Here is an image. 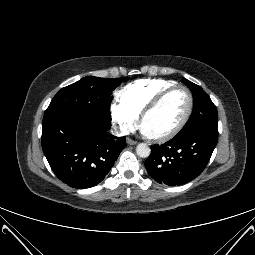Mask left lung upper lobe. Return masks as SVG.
<instances>
[{
	"instance_id": "obj_1",
	"label": "left lung upper lobe",
	"mask_w": 255,
	"mask_h": 255,
	"mask_svg": "<svg viewBox=\"0 0 255 255\" xmlns=\"http://www.w3.org/2000/svg\"><path fill=\"white\" fill-rule=\"evenodd\" d=\"M193 93V112L190 119L177 135L211 131L218 133V114L216 106L206 92L198 85L183 78Z\"/></svg>"
}]
</instances>
